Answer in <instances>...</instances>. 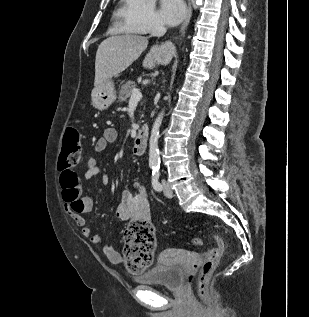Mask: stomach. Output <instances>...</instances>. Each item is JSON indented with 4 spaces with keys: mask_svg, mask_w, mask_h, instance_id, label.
<instances>
[{
    "mask_svg": "<svg viewBox=\"0 0 309 317\" xmlns=\"http://www.w3.org/2000/svg\"><path fill=\"white\" fill-rule=\"evenodd\" d=\"M115 100V85L111 80H108L102 85L94 88L91 94L92 105L99 110L107 109L115 102Z\"/></svg>",
    "mask_w": 309,
    "mask_h": 317,
    "instance_id": "0dacf381",
    "label": "stomach"
}]
</instances>
